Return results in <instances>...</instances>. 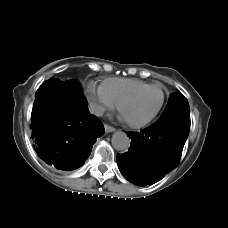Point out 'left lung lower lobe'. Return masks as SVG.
<instances>
[{
	"label": "left lung lower lobe",
	"mask_w": 228,
	"mask_h": 228,
	"mask_svg": "<svg viewBox=\"0 0 228 228\" xmlns=\"http://www.w3.org/2000/svg\"><path fill=\"white\" fill-rule=\"evenodd\" d=\"M189 130V118L180 122L159 118L140 132H127L131 147L128 152L117 155L120 172L140 186L161 180L178 166Z\"/></svg>",
	"instance_id": "1"
}]
</instances>
